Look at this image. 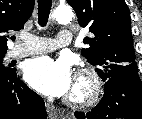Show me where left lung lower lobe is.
Here are the masks:
<instances>
[{
    "label": "left lung lower lobe",
    "mask_w": 142,
    "mask_h": 119,
    "mask_svg": "<svg viewBox=\"0 0 142 119\" xmlns=\"http://www.w3.org/2000/svg\"><path fill=\"white\" fill-rule=\"evenodd\" d=\"M102 100L91 112H76L78 119H142V82L137 71L106 80Z\"/></svg>",
    "instance_id": "obj_1"
}]
</instances>
